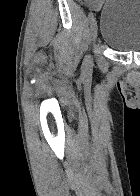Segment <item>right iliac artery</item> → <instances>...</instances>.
I'll use <instances>...</instances> for the list:
<instances>
[{"label":"right iliac artery","mask_w":140,"mask_h":196,"mask_svg":"<svg viewBox=\"0 0 140 196\" xmlns=\"http://www.w3.org/2000/svg\"><path fill=\"white\" fill-rule=\"evenodd\" d=\"M92 18H93V13L91 12V13H89V15H88L89 21H90Z\"/></svg>","instance_id":"right-iliac-artery-1"}]
</instances>
